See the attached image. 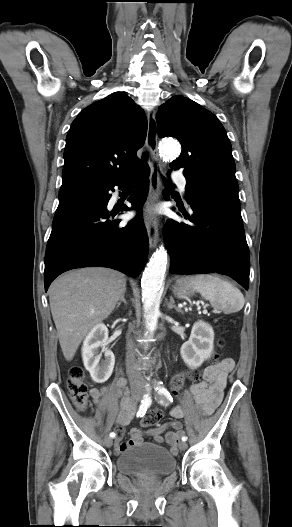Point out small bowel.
I'll return each instance as SVG.
<instances>
[{"instance_id":"small-bowel-1","label":"small bowel","mask_w":292,"mask_h":527,"mask_svg":"<svg viewBox=\"0 0 292 527\" xmlns=\"http://www.w3.org/2000/svg\"><path fill=\"white\" fill-rule=\"evenodd\" d=\"M233 365L232 359L225 358L217 365L208 367L205 370L204 381L193 383L189 387V395L194 399L195 403L204 414L209 415L213 413L221 402L223 390L226 385V379L229 372L233 369ZM116 386L119 388L117 395H122V398L116 420L119 427L116 430L117 440L115 443V450L116 452L121 453L131 446L140 444L143 441L145 432L139 428H134L131 431V439L128 442H121L124 434L123 427L130 423L133 416L135 415L136 409L135 406L129 401L126 393L122 394V391L120 390V388L123 386V382L121 380L118 381ZM108 390V388H93L90 391V395L93 401L97 403L101 396L107 393ZM171 415L178 420L183 416V412L180 407H176L171 411ZM169 428H173L176 431H167ZM181 428L182 424L179 421H174L150 429L146 432V434L152 436L157 443H162L164 441L163 433L167 431L165 434L166 440L172 446V452L176 454V444L178 442Z\"/></svg>"}]
</instances>
